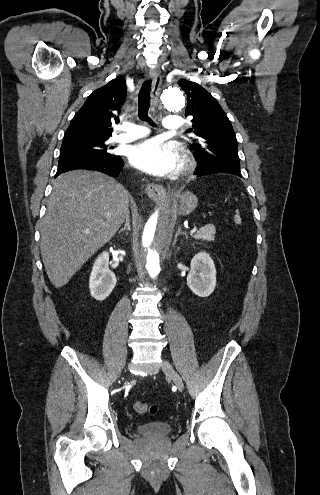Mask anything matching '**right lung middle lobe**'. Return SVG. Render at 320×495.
<instances>
[{
	"label": "right lung middle lobe",
	"instance_id": "right-lung-middle-lobe-1",
	"mask_svg": "<svg viewBox=\"0 0 320 495\" xmlns=\"http://www.w3.org/2000/svg\"><path fill=\"white\" fill-rule=\"evenodd\" d=\"M107 140L108 138L63 140L59 159L66 157H112L114 155L108 152L110 148L106 145Z\"/></svg>",
	"mask_w": 320,
	"mask_h": 495
}]
</instances>
